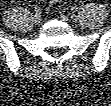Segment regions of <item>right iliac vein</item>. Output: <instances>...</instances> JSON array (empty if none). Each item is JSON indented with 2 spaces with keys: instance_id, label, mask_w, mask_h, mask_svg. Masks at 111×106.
Instances as JSON below:
<instances>
[{
  "instance_id": "obj_1",
  "label": "right iliac vein",
  "mask_w": 111,
  "mask_h": 106,
  "mask_svg": "<svg viewBox=\"0 0 111 106\" xmlns=\"http://www.w3.org/2000/svg\"><path fill=\"white\" fill-rule=\"evenodd\" d=\"M42 20V16L40 13H36L34 16H33V22L35 24H39Z\"/></svg>"
}]
</instances>
